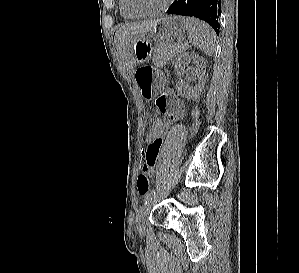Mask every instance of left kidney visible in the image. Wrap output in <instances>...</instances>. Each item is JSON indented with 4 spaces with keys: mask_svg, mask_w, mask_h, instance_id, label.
I'll return each mask as SVG.
<instances>
[{
    "mask_svg": "<svg viewBox=\"0 0 299 273\" xmlns=\"http://www.w3.org/2000/svg\"><path fill=\"white\" fill-rule=\"evenodd\" d=\"M188 61H192L196 65V68L192 70V74L196 78L197 83L194 87H191L189 84L179 81L176 89L182 96L191 98L199 96L204 89L206 62L198 55L185 53L175 62V69L178 75L183 74L185 64Z\"/></svg>",
    "mask_w": 299,
    "mask_h": 273,
    "instance_id": "1",
    "label": "left kidney"
}]
</instances>
